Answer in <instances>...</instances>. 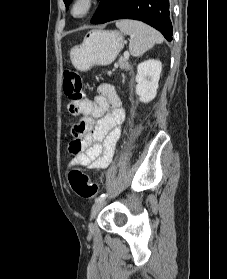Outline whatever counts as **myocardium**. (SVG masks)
<instances>
[{
	"label": "myocardium",
	"instance_id": "myocardium-1",
	"mask_svg": "<svg viewBox=\"0 0 227 279\" xmlns=\"http://www.w3.org/2000/svg\"><path fill=\"white\" fill-rule=\"evenodd\" d=\"M81 6L82 11L76 12V9ZM95 6V0H73L71 5V15L77 19H83L87 17Z\"/></svg>",
	"mask_w": 227,
	"mask_h": 279
}]
</instances>
